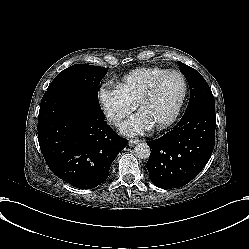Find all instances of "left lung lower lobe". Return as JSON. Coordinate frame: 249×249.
<instances>
[{"instance_id":"left-lung-lower-lobe-1","label":"left lung lower lobe","mask_w":249,"mask_h":249,"mask_svg":"<svg viewBox=\"0 0 249 249\" xmlns=\"http://www.w3.org/2000/svg\"><path fill=\"white\" fill-rule=\"evenodd\" d=\"M215 106H203L183 115L166 135L147 141L151 154L146 163L153 184L181 187L204 168L215 143Z\"/></svg>"}]
</instances>
